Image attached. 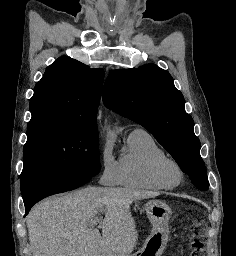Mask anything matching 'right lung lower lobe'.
Segmentation results:
<instances>
[{"instance_id":"obj_1","label":"right lung lower lobe","mask_w":236,"mask_h":256,"mask_svg":"<svg viewBox=\"0 0 236 256\" xmlns=\"http://www.w3.org/2000/svg\"><path fill=\"white\" fill-rule=\"evenodd\" d=\"M89 179L90 178L87 176H76L60 181L42 184L32 188L22 195L25 205V215H27L31 207L41 199L53 194L76 189L88 182Z\"/></svg>"}]
</instances>
